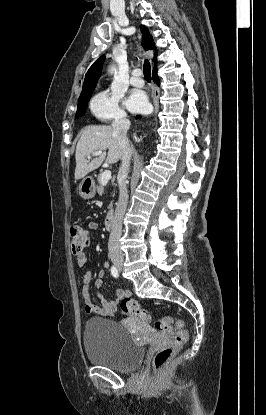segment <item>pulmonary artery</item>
I'll return each instance as SVG.
<instances>
[{
	"mask_svg": "<svg viewBox=\"0 0 266 415\" xmlns=\"http://www.w3.org/2000/svg\"><path fill=\"white\" fill-rule=\"evenodd\" d=\"M142 72L140 69H134L130 78V83L135 87H142L144 85V80L141 77Z\"/></svg>",
	"mask_w": 266,
	"mask_h": 415,
	"instance_id": "1",
	"label": "pulmonary artery"
}]
</instances>
